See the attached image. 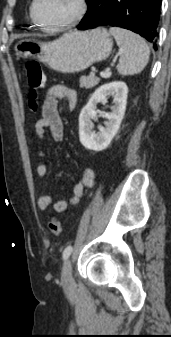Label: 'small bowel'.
Masks as SVG:
<instances>
[{"label":"small bowel","instance_id":"c3829d8e","mask_svg":"<svg viewBox=\"0 0 171 337\" xmlns=\"http://www.w3.org/2000/svg\"><path fill=\"white\" fill-rule=\"evenodd\" d=\"M65 99L70 109L77 105L78 95L74 89L65 85H54L48 89L42 106L41 118L35 123V133L41 144L45 142V131L48 130L50 138L53 141H60L63 138V123L58 110V100ZM38 156L43 158L45 152L43 149L38 151ZM47 166L40 163L37 167L39 177L47 176ZM95 182V171L88 167L85 168L81 180L74 185L72 194L67 200L53 201L50 194H43L38 199V207L41 210L49 208L56 212H63L69 206L77 205L86 188L93 187Z\"/></svg>","mask_w":171,"mask_h":337}]
</instances>
